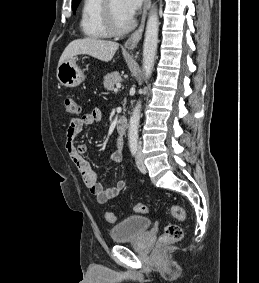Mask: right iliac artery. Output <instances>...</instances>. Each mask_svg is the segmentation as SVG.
Wrapping results in <instances>:
<instances>
[{"label":"right iliac artery","mask_w":259,"mask_h":283,"mask_svg":"<svg viewBox=\"0 0 259 283\" xmlns=\"http://www.w3.org/2000/svg\"><path fill=\"white\" fill-rule=\"evenodd\" d=\"M136 152H137V147L136 146L131 147V153L133 156H135Z\"/></svg>","instance_id":"right-iliac-artery-1"}]
</instances>
